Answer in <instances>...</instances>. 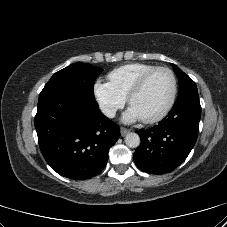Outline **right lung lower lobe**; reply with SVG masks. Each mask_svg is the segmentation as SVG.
<instances>
[{"instance_id":"1","label":"right lung lower lobe","mask_w":227,"mask_h":227,"mask_svg":"<svg viewBox=\"0 0 227 227\" xmlns=\"http://www.w3.org/2000/svg\"><path fill=\"white\" fill-rule=\"evenodd\" d=\"M34 123L46 162L75 180L101 172L120 137L119 126L99 111L95 98L69 86L42 90Z\"/></svg>"}]
</instances>
